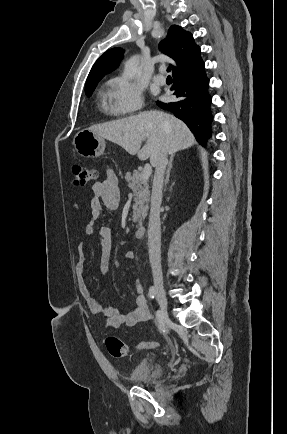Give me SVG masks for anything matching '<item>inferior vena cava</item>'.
Masks as SVG:
<instances>
[{
    "label": "inferior vena cava",
    "instance_id": "inferior-vena-cava-1",
    "mask_svg": "<svg viewBox=\"0 0 287 434\" xmlns=\"http://www.w3.org/2000/svg\"><path fill=\"white\" fill-rule=\"evenodd\" d=\"M167 163V151L165 148H163L157 157L155 165L148 226L149 259L152 268L153 279L158 283H162L163 280L161 270L160 205L162 201V188Z\"/></svg>",
    "mask_w": 287,
    "mask_h": 434
}]
</instances>
